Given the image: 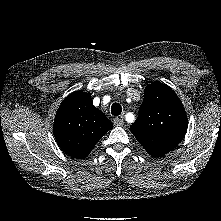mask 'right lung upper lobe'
Wrapping results in <instances>:
<instances>
[{
    "mask_svg": "<svg viewBox=\"0 0 221 221\" xmlns=\"http://www.w3.org/2000/svg\"><path fill=\"white\" fill-rule=\"evenodd\" d=\"M112 128L105 114L93 106L90 93L75 92L61 103L53 131L63 152L74 158H84Z\"/></svg>",
    "mask_w": 221,
    "mask_h": 221,
    "instance_id": "right-lung-upper-lobe-1",
    "label": "right lung upper lobe"
}]
</instances>
